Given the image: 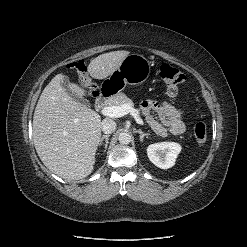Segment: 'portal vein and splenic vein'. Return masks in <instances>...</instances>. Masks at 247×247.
Returning <instances> with one entry per match:
<instances>
[{
    "label": "portal vein and splenic vein",
    "mask_w": 247,
    "mask_h": 247,
    "mask_svg": "<svg viewBox=\"0 0 247 247\" xmlns=\"http://www.w3.org/2000/svg\"><path fill=\"white\" fill-rule=\"evenodd\" d=\"M101 113L104 116H108V117H112V118H119V117H122V116H124L126 114H130L138 124L143 125V120L139 116L138 110L134 109L128 103H124V104H122L120 106H107V107H104L101 110Z\"/></svg>",
    "instance_id": "1"
}]
</instances>
